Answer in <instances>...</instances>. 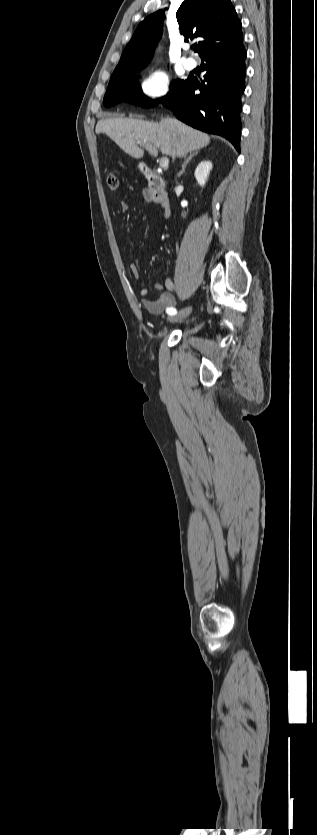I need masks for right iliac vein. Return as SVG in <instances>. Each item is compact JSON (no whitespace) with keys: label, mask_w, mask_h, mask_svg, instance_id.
<instances>
[{"label":"right iliac vein","mask_w":317,"mask_h":835,"mask_svg":"<svg viewBox=\"0 0 317 835\" xmlns=\"http://www.w3.org/2000/svg\"><path fill=\"white\" fill-rule=\"evenodd\" d=\"M191 311H192V308H191V307H186V308H184V309L180 310V311H179L176 315H171V316L168 318V320H169L170 322L182 321V320H183V319H185L187 316H189V314L191 313Z\"/></svg>","instance_id":"1"}]
</instances>
